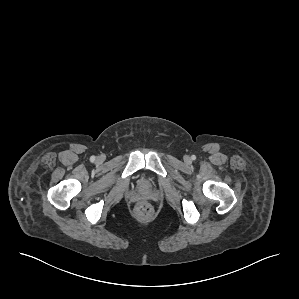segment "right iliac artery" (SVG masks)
<instances>
[{
    "label": "right iliac artery",
    "mask_w": 299,
    "mask_h": 299,
    "mask_svg": "<svg viewBox=\"0 0 299 299\" xmlns=\"http://www.w3.org/2000/svg\"><path fill=\"white\" fill-rule=\"evenodd\" d=\"M94 160H95V157H94V156H92V157H91V161H94Z\"/></svg>",
    "instance_id": "right-iliac-artery-1"
}]
</instances>
